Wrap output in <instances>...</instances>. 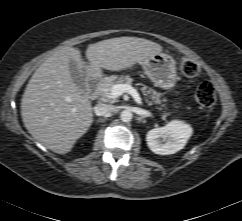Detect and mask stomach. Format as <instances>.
<instances>
[{"mask_svg":"<svg viewBox=\"0 0 242 221\" xmlns=\"http://www.w3.org/2000/svg\"><path fill=\"white\" fill-rule=\"evenodd\" d=\"M143 69L156 87L170 90L177 81L176 62L165 53H157L143 63Z\"/></svg>","mask_w":242,"mask_h":221,"instance_id":"stomach-1","label":"stomach"}]
</instances>
